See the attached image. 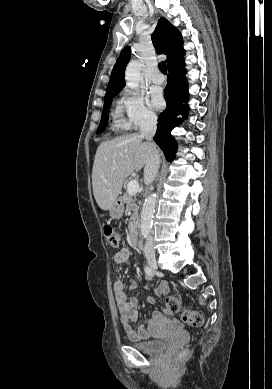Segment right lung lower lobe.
Wrapping results in <instances>:
<instances>
[{"instance_id":"1","label":"right lung lower lobe","mask_w":272,"mask_h":389,"mask_svg":"<svg viewBox=\"0 0 272 389\" xmlns=\"http://www.w3.org/2000/svg\"><path fill=\"white\" fill-rule=\"evenodd\" d=\"M184 58L168 67L167 85L164 90V97L167 108L159 115L157 132L154 141L164 152L166 159L172 161L175 157L176 142L170 132L177 127L181 119L176 116H187L188 106L183 103L188 100V82L184 76Z\"/></svg>"}]
</instances>
